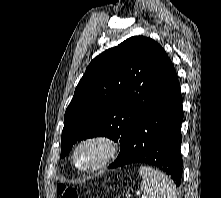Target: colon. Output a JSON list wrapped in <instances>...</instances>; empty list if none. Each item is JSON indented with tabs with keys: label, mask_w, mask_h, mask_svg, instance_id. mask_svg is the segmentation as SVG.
<instances>
[{
	"label": "colon",
	"mask_w": 221,
	"mask_h": 198,
	"mask_svg": "<svg viewBox=\"0 0 221 198\" xmlns=\"http://www.w3.org/2000/svg\"><path fill=\"white\" fill-rule=\"evenodd\" d=\"M57 191L61 198H80L78 191L70 186L59 184Z\"/></svg>",
	"instance_id": "colon-1"
}]
</instances>
